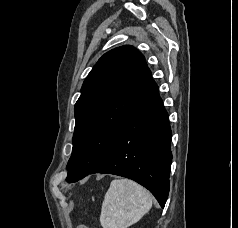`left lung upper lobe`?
<instances>
[{
	"label": "left lung upper lobe",
	"mask_w": 238,
	"mask_h": 228,
	"mask_svg": "<svg viewBox=\"0 0 238 228\" xmlns=\"http://www.w3.org/2000/svg\"><path fill=\"white\" fill-rule=\"evenodd\" d=\"M150 78L144 56L130 45L115 48L99 59L75 104L67 178L90 172L107 157Z\"/></svg>",
	"instance_id": "1"
}]
</instances>
